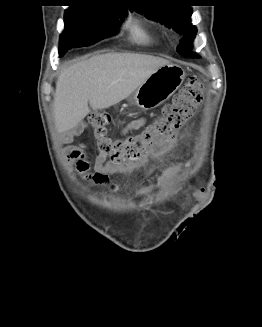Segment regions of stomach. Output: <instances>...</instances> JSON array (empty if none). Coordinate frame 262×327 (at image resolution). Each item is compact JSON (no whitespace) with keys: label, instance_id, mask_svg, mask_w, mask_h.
<instances>
[{"label":"stomach","instance_id":"1","mask_svg":"<svg viewBox=\"0 0 262 327\" xmlns=\"http://www.w3.org/2000/svg\"><path fill=\"white\" fill-rule=\"evenodd\" d=\"M185 71L177 64H166L153 72L130 96L131 104L154 109L167 101L182 85Z\"/></svg>","mask_w":262,"mask_h":327}]
</instances>
